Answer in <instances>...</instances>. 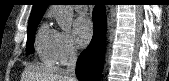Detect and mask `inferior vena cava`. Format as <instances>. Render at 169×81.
Wrapping results in <instances>:
<instances>
[{"label": "inferior vena cava", "mask_w": 169, "mask_h": 81, "mask_svg": "<svg viewBox=\"0 0 169 81\" xmlns=\"http://www.w3.org/2000/svg\"><path fill=\"white\" fill-rule=\"evenodd\" d=\"M77 62V51L74 47H72L69 51V61L67 63V67L65 69V73L71 78V80L75 81V69Z\"/></svg>", "instance_id": "602c4592"}]
</instances>
